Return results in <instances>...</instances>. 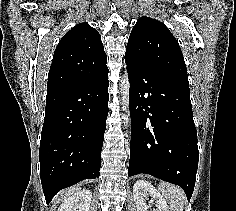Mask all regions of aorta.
Returning <instances> with one entry per match:
<instances>
[{"label":"aorta","mask_w":236,"mask_h":211,"mask_svg":"<svg viewBox=\"0 0 236 211\" xmlns=\"http://www.w3.org/2000/svg\"><path fill=\"white\" fill-rule=\"evenodd\" d=\"M129 91H130V82L128 78L127 72H125L123 79L121 81V105L122 111V119L124 121L125 126L129 125Z\"/></svg>","instance_id":"762f6f07"}]
</instances>
